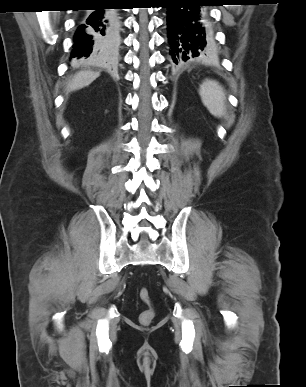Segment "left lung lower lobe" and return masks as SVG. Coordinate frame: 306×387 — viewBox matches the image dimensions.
<instances>
[{
	"mask_svg": "<svg viewBox=\"0 0 306 387\" xmlns=\"http://www.w3.org/2000/svg\"><path fill=\"white\" fill-rule=\"evenodd\" d=\"M167 11L168 46L171 62L187 66L203 59L213 43L208 11L211 0H165Z\"/></svg>",
	"mask_w": 306,
	"mask_h": 387,
	"instance_id": "0a47b994",
	"label": "left lung lower lobe"
}]
</instances>
